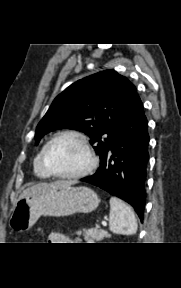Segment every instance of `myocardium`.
Returning <instances> with one entry per match:
<instances>
[{
	"instance_id": "obj_1",
	"label": "myocardium",
	"mask_w": 181,
	"mask_h": 288,
	"mask_svg": "<svg viewBox=\"0 0 181 288\" xmlns=\"http://www.w3.org/2000/svg\"><path fill=\"white\" fill-rule=\"evenodd\" d=\"M64 137H72L76 139L82 145V147L84 148L86 152V156H87L86 165L81 170L75 173H70V174L57 173L54 170H52V168L47 163V159H46L47 150L55 141ZM40 160H41V164L43 168L47 171V173L50 176L60 178V179H78V178L84 177L87 174H89L96 167V164H97V160L92 150L89 139L86 137L84 133L78 130H72V129L63 130L53 135L49 139V141H47V143L43 146L41 153H40Z\"/></svg>"
}]
</instances>
